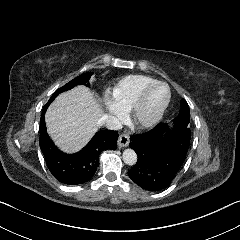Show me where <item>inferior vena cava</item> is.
I'll return each mask as SVG.
<instances>
[{
    "mask_svg": "<svg viewBox=\"0 0 240 240\" xmlns=\"http://www.w3.org/2000/svg\"><path fill=\"white\" fill-rule=\"evenodd\" d=\"M97 125H102L111 130H116L121 127L120 121L112 115H103L98 121Z\"/></svg>",
    "mask_w": 240,
    "mask_h": 240,
    "instance_id": "1",
    "label": "inferior vena cava"
}]
</instances>
